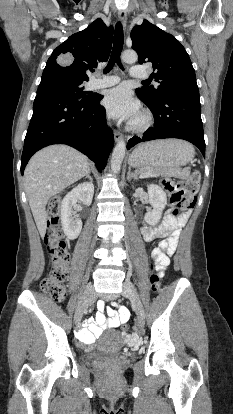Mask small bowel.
<instances>
[{
	"label": "small bowel",
	"instance_id": "c3829d8e",
	"mask_svg": "<svg viewBox=\"0 0 233 414\" xmlns=\"http://www.w3.org/2000/svg\"><path fill=\"white\" fill-rule=\"evenodd\" d=\"M186 217L176 219L171 213H167L162 223L159 226L143 225L141 233L146 242L153 241L156 238L162 239L159 247L156 248L161 252L159 258L155 260V273L158 277L165 274L166 268L170 263V259L166 251H170V246L174 245L177 237L181 232V228L185 224ZM98 312L95 317L89 318L84 326L78 331V339L82 344L90 345L94 342L103 329L116 328L126 323L130 318L129 310L113 302L112 305L116 308L105 307L104 301L97 302Z\"/></svg>",
	"mask_w": 233,
	"mask_h": 414
}]
</instances>
